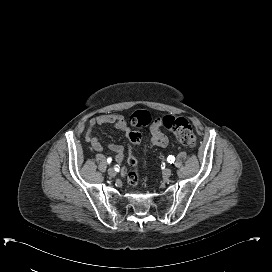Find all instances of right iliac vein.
Listing matches in <instances>:
<instances>
[{
    "label": "right iliac vein",
    "mask_w": 272,
    "mask_h": 272,
    "mask_svg": "<svg viewBox=\"0 0 272 272\" xmlns=\"http://www.w3.org/2000/svg\"><path fill=\"white\" fill-rule=\"evenodd\" d=\"M107 172L110 177L116 176V171L113 168H109Z\"/></svg>",
    "instance_id": "1"
}]
</instances>
